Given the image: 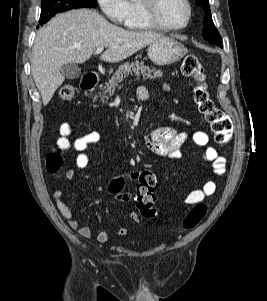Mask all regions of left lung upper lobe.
<instances>
[{
    "instance_id": "1",
    "label": "left lung upper lobe",
    "mask_w": 267,
    "mask_h": 301,
    "mask_svg": "<svg viewBox=\"0 0 267 301\" xmlns=\"http://www.w3.org/2000/svg\"><path fill=\"white\" fill-rule=\"evenodd\" d=\"M196 4L203 8L205 11L204 19H203V37L205 40L209 41L210 43L216 44L220 47L221 45V36L216 29L211 12H210V6H209V0H195Z\"/></svg>"
}]
</instances>
